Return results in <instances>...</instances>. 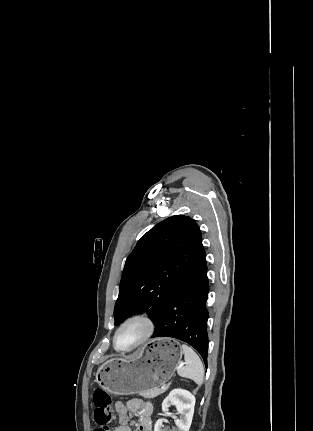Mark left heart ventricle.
Wrapping results in <instances>:
<instances>
[{
	"label": "left heart ventricle",
	"mask_w": 313,
	"mask_h": 431,
	"mask_svg": "<svg viewBox=\"0 0 313 431\" xmlns=\"http://www.w3.org/2000/svg\"><path fill=\"white\" fill-rule=\"evenodd\" d=\"M145 329V325L141 322L126 325L118 334L117 346L122 349L133 346L142 338Z\"/></svg>",
	"instance_id": "left-heart-ventricle-1"
}]
</instances>
